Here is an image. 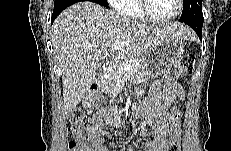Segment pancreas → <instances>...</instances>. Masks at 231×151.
<instances>
[{"label":"pancreas","instance_id":"cf45deb5","mask_svg":"<svg viewBox=\"0 0 231 151\" xmlns=\"http://www.w3.org/2000/svg\"><path fill=\"white\" fill-rule=\"evenodd\" d=\"M124 63H132L131 68L125 73H117V70L113 69L104 78L102 88L106 94L115 95L124 87L125 82L128 80L139 81L145 78L147 72L140 60H126Z\"/></svg>","mask_w":231,"mask_h":151}]
</instances>
